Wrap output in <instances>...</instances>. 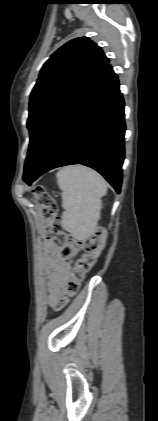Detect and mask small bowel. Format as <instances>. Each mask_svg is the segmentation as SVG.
I'll return each instance as SVG.
<instances>
[{"label": "small bowel", "mask_w": 158, "mask_h": 421, "mask_svg": "<svg viewBox=\"0 0 158 421\" xmlns=\"http://www.w3.org/2000/svg\"><path fill=\"white\" fill-rule=\"evenodd\" d=\"M72 263L62 259L58 248L50 241L46 244L45 271L48 285V303L56 306L65 296Z\"/></svg>", "instance_id": "1"}]
</instances>
